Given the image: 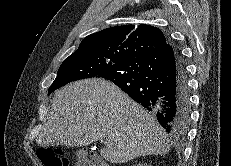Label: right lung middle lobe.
<instances>
[{"instance_id":"1","label":"right lung middle lobe","mask_w":231,"mask_h":166,"mask_svg":"<svg viewBox=\"0 0 231 166\" xmlns=\"http://www.w3.org/2000/svg\"><path fill=\"white\" fill-rule=\"evenodd\" d=\"M122 61H124L122 57L106 55L95 50L75 51L59 67L57 77L48 90V95L72 81L96 77L102 71Z\"/></svg>"}]
</instances>
